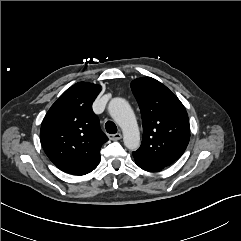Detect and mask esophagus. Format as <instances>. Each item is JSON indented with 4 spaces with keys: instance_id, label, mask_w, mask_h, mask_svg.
<instances>
[{
    "instance_id": "esophagus-1",
    "label": "esophagus",
    "mask_w": 241,
    "mask_h": 241,
    "mask_svg": "<svg viewBox=\"0 0 241 241\" xmlns=\"http://www.w3.org/2000/svg\"><path fill=\"white\" fill-rule=\"evenodd\" d=\"M121 138H122L121 133H116V134L109 135V139L114 140V141L120 140Z\"/></svg>"
}]
</instances>
